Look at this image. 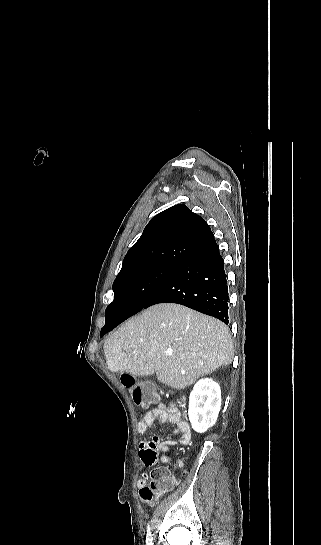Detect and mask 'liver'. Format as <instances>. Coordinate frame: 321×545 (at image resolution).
Returning a JSON list of instances; mask_svg holds the SVG:
<instances>
[{"mask_svg":"<svg viewBox=\"0 0 321 545\" xmlns=\"http://www.w3.org/2000/svg\"><path fill=\"white\" fill-rule=\"evenodd\" d=\"M103 349L111 373H156L172 389H186L199 377L231 365L234 357L227 325L175 303L153 305L132 317Z\"/></svg>","mask_w":321,"mask_h":545,"instance_id":"obj_1","label":"liver"}]
</instances>
